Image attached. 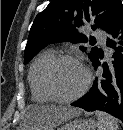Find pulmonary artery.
<instances>
[{"instance_id": "pulmonary-artery-1", "label": "pulmonary artery", "mask_w": 123, "mask_h": 130, "mask_svg": "<svg viewBox=\"0 0 123 130\" xmlns=\"http://www.w3.org/2000/svg\"><path fill=\"white\" fill-rule=\"evenodd\" d=\"M93 35L102 43H105V35L101 30L94 31Z\"/></svg>"}]
</instances>
